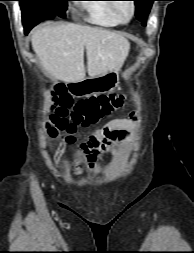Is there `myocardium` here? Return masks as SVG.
Instances as JSON below:
<instances>
[{
	"instance_id": "myocardium-1",
	"label": "myocardium",
	"mask_w": 194,
	"mask_h": 253,
	"mask_svg": "<svg viewBox=\"0 0 194 253\" xmlns=\"http://www.w3.org/2000/svg\"><path fill=\"white\" fill-rule=\"evenodd\" d=\"M112 1H116V0H112ZM131 4H132V11H131V14L128 18H124L118 8V5L117 3L118 2H111V8L115 14V16L118 18V20L122 23H127L129 22L135 15V12H136V3L134 1H130Z\"/></svg>"
}]
</instances>
